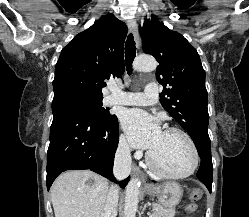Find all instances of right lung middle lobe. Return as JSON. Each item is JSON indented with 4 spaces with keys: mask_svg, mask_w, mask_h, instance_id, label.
<instances>
[{
    "mask_svg": "<svg viewBox=\"0 0 249 217\" xmlns=\"http://www.w3.org/2000/svg\"><path fill=\"white\" fill-rule=\"evenodd\" d=\"M102 99L103 98L92 97L81 92L66 91L55 94L53 102H70L80 107L91 118L100 123H113L117 121L116 115H112L108 112L107 109L102 108Z\"/></svg>",
    "mask_w": 249,
    "mask_h": 217,
    "instance_id": "dd1d6c3e",
    "label": "right lung middle lobe"
}]
</instances>
